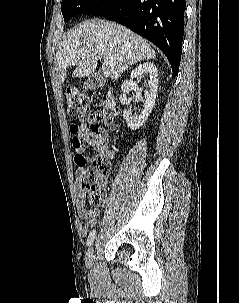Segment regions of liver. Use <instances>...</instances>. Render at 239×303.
Returning <instances> with one entry per match:
<instances>
[{"mask_svg": "<svg viewBox=\"0 0 239 303\" xmlns=\"http://www.w3.org/2000/svg\"><path fill=\"white\" fill-rule=\"evenodd\" d=\"M155 56L147 41L131 30L114 22L94 19L68 32L57 49L56 62L61 82L67 77V68L76 66L72 77L89 76L98 61L105 58L110 59V63L103 64L102 74L118 79L131 65Z\"/></svg>", "mask_w": 239, "mask_h": 303, "instance_id": "liver-1", "label": "liver"}]
</instances>
